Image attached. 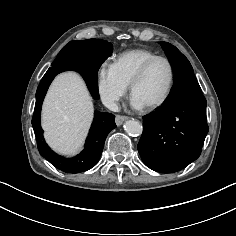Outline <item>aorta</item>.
<instances>
[{"label": "aorta", "instance_id": "obj_1", "mask_svg": "<svg viewBox=\"0 0 236 236\" xmlns=\"http://www.w3.org/2000/svg\"><path fill=\"white\" fill-rule=\"evenodd\" d=\"M124 130L133 136H139L142 134V124L135 120H128L124 124Z\"/></svg>", "mask_w": 236, "mask_h": 236}]
</instances>
